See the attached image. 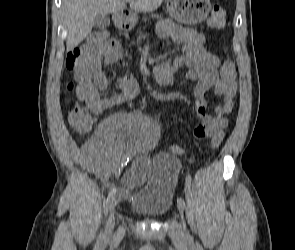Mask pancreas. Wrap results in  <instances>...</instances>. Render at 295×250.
Listing matches in <instances>:
<instances>
[{"label": "pancreas", "mask_w": 295, "mask_h": 250, "mask_svg": "<svg viewBox=\"0 0 295 250\" xmlns=\"http://www.w3.org/2000/svg\"><path fill=\"white\" fill-rule=\"evenodd\" d=\"M152 18H157V19H159V18H161V15H152ZM144 21L146 22L147 19H144Z\"/></svg>", "instance_id": "cf45deb5"}]
</instances>
